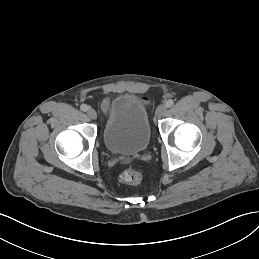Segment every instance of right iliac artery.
<instances>
[{"instance_id": "obj_1", "label": "right iliac artery", "mask_w": 259, "mask_h": 259, "mask_svg": "<svg viewBox=\"0 0 259 259\" xmlns=\"http://www.w3.org/2000/svg\"><path fill=\"white\" fill-rule=\"evenodd\" d=\"M80 109L85 112V111L88 110V106H87L86 104H82V105L80 106Z\"/></svg>"}]
</instances>
